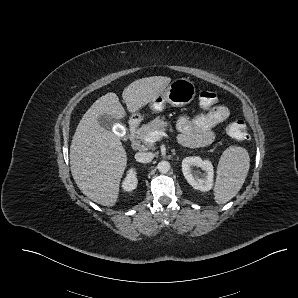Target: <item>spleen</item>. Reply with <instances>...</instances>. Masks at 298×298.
<instances>
[{
  "mask_svg": "<svg viewBox=\"0 0 298 298\" xmlns=\"http://www.w3.org/2000/svg\"><path fill=\"white\" fill-rule=\"evenodd\" d=\"M250 168V157L245 148L230 146L219 159L214 185V200L225 204L241 189Z\"/></svg>",
  "mask_w": 298,
  "mask_h": 298,
  "instance_id": "3e777b00",
  "label": "spleen"
}]
</instances>
